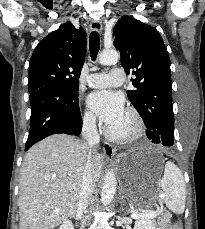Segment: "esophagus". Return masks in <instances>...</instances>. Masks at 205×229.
<instances>
[{"instance_id": "esophagus-1", "label": "esophagus", "mask_w": 205, "mask_h": 229, "mask_svg": "<svg viewBox=\"0 0 205 229\" xmlns=\"http://www.w3.org/2000/svg\"><path fill=\"white\" fill-rule=\"evenodd\" d=\"M90 28L92 31L100 33L102 31V23L99 20H93L90 23ZM103 151L107 159L112 158L116 153V148L109 142H104Z\"/></svg>"}]
</instances>
